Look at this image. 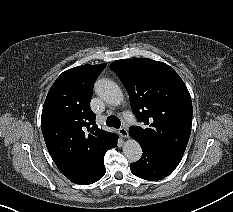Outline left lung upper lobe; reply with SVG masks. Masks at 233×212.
<instances>
[{
    "label": "left lung upper lobe",
    "instance_id": "1",
    "mask_svg": "<svg viewBox=\"0 0 233 212\" xmlns=\"http://www.w3.org/2000/svg\"><path fill=\"white\" fill-rule=\"evenodd\" d=\"M129 94L132 111L144 127L129 135L154 148L183 156L191 132L192 101L183 80L167 64L151 59L116 60L110 65Z\"/></svg>",
    "mask_w": 233,
    "mask_h": 212
}]
</instances>
